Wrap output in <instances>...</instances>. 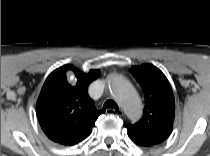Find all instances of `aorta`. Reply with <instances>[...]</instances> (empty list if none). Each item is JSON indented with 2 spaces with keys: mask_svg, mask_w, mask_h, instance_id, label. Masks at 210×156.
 <instances>
[{
  "mask_svg": "<svg viewBox=\"0 0 210 156\" xmlns=\"http://www.w3.org/2000/svg\"><path fill=\"white\" fill-rule=\"evenodd\" d=\"M110 90L131 119H138L142 114V103L134 87L125 78L113 76L110 79Z\"/></svg>",
  "mask_w": 210,
  "mask_h": 156,
  "instance_id": "1",
  "label": "aorta"
}]
</instances>
